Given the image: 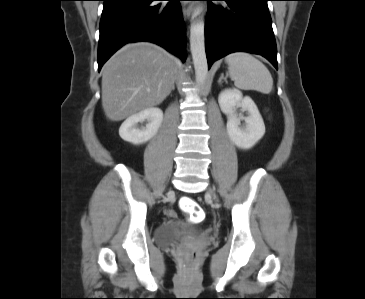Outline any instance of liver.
<instances>
[{
  "label": "liver",
  "mask_w": 365,
  "mask_h": 299,
  "mask_svg": "<svg viewBox=\"0 0 365 299\" xmlns=\"http://www.w3.org/2000/svg\"><path fill=\"white\" fill-rule=\"evenodd\" d=\"M177 60L151 43L129 44L103 67L102 107L111 121H121L161 104L174 83Z\"/></svg>",
  "instance_id": "liver-1"
}]
</instances>
